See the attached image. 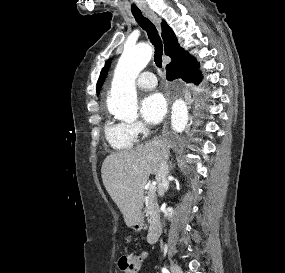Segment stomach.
<instances>
[{"mask_svg": "<svg viewBox=\"0 0 285 273\" xmlns=\"http://www.w3.org/2000/svg\"><path fill=\"white\" fill-rule=\"evenodd\" d=\"M138 222H139V220L134 224V226H136Z\"/></svg>", "mask_w": 285, "mask_h": 273, "instance_id": "obj_1", "label": "stomach"}]
</instances>
